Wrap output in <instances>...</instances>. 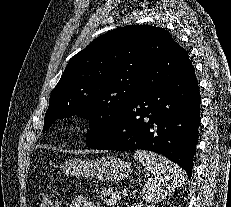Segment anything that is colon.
<instances>
[{"instance_id":"colon-1","label":"colon","mask_w":231,"mask_h":207,"mask_svg":"<svg viewBox=\"0 0 231 207\" xmlns=\"http://www.w3.org/2000/svg\"><path fill=\"white\" fill-rule=\"evenodd\" d=\"M40 207H58L57 198L54 194L40 196Z\"/></svg>"}]
</instances>
